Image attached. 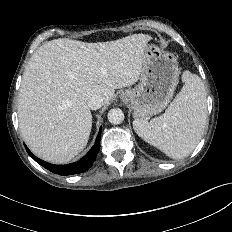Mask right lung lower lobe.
Segmentation results:
<instances>
[{
  "mask_svg": "<svg viewBox=\"0 0 232 232\" xmlns=\"http://www.w3.org/2000/svg\"><path fill=\"white\" fill-rule=\"evenodd\" d=\"M101 139V128L96 138L95 144L92 146L90 151L78 162L68 165H54L47 163L37 157H35L31 151L26 147L28 154L41 166L48 169L49 171L59 175H74L87 171L96 160V156L100 148Z\"/></svg>",
  "mask_w": 232,
  "mask_h": 232,
  "instance_id": "1",
  "label": "right lung lower lobe"
}]
</instances>
